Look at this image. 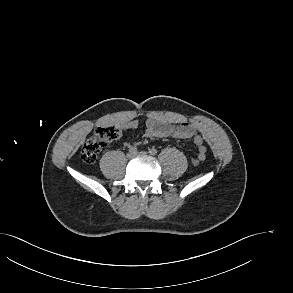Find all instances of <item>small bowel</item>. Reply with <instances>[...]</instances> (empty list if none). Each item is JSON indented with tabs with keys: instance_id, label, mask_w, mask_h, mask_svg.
I'll return each instance as SVG.
<instances>
[{
	"instance_id": "1",
	"label": "small bowel",
	"mask_w": 293,
	"mask_h": 293,
	"mask_svg": "<svg viewBox=\"0 0 293 293\" xmlns=\"http://www.w3.org/2000/svg\"><path fill=\"white\" fill-rule=\"evenodd\" d=\"M132 127L137 126V122L131 123ZM145 136L149 138L174 137L181 139H193L198 146L199 153L206 152L203 146V138L197 133L194 126L187 122L173 123L160 116L149 115L145 120Z\"/></svg>"
}]
</instances>
